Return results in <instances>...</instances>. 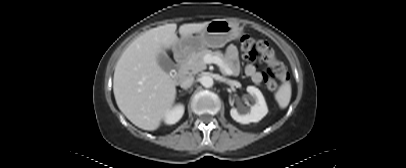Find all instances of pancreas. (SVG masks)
<instances>
[{
	"label": "pancreas",
	"mask_w": 406,
	"mask_h": 168,
	"mask_svg": "<svg viewBox=\"0 0 406 168\" xmlns=\"http://www.w3.org/2000/svg\"><path fill=\"white\" fill-rule=\"evenodd\" d=\"M206 55L219 57L224 65L230 68V64L221 51H211L207 48L202 49L199 52L192 53L188 61L183 65L182 71L184 74H197L206 69V63L204 57Z\"/></svg>",
	"instance_id": "1"
}]
</instances>
